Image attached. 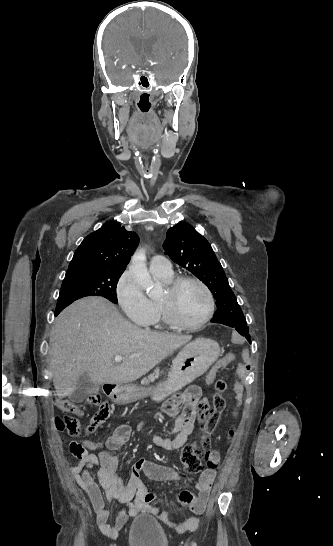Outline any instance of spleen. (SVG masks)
I'll return each instance as SVG.
<instances>
[{
  "label": "spleen",
  "instance_id": "1",
  "mask_svg": "<svg viewBox=\"0 0 333 546\" xmlns=\"http://www.w3.org/2000/svg\"><path fill=\"white\" fill-rule=\"evenodd\" d=\"M238 374H239L240 377L245 376V368H244V366L239 365V367H238Z\"/></svg>",
  "mask_w": 333,
  "mask_h": 546
}]
</instances>
